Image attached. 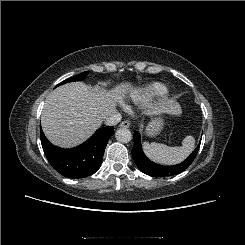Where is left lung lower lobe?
<instances>
[{
  "mask_svg": "<svg viewBox=\"0 0 245 245\" xmlns=\"http://www.w3.org/2000/svg\"><path fill=\"white\" fill-rule=\"evenodd\" d=\"M134 147L132 149L133 159L143 173L152 176V177H168L179 174L183 172L195 159L200 144L197 148L190 154V156L183 161L182 163L174 166H163L156 164L150 161L145 154L143 153L141 146V138L138 132H135L134 135Z\"/></svg>",
  "mask_w": 245,
  "mask_h": 245,
  "instance_id": "obj_1",
  "label": "left lung lower lobe"
}]
</instances>
